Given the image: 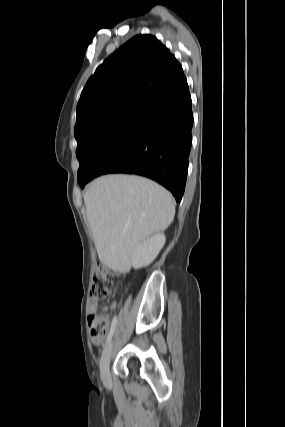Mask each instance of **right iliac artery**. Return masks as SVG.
<instances>
[{
    "mask_svg": "<svg viewBox=\"0 0 285 427\" xmlns=\"http://www.w3.org/2000/svg\"><path fill=\"white\" fill-rule=\"evenodd\" d=\"M115 325H116V324H115V321H113V323H112V325H111V328H110V331H109V333H108L107 339H106V344L110 342V340H111V338H112V336H113V334H114V331H115Z\"/></svg>",
    "mask_w": 285,
    "mask_h": 427,
    "instance_id": "right-iliac-artery-1",
    "label": "right iliac artery"
}]
</instances>
